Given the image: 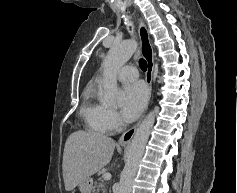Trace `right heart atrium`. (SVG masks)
Wrapping results in <instances>:
<instances>
[{
  "label": "right heart atrium",
  "instance_id": "right-heart-atrium-1",
  "mask_svg": "<svg viewBox=\"0 0 237 193\" xmlns=\"http://www.w3.org/2000/svg\"><path fill=\"white\" fill-rule=\"evenodd\" d=\"M106 120L110 130L117 129L121 124L119 114L113 109L107 110Z\"/></svg>",
  "mask_w": 237,
  "mask_h": 193
}]
</instances>
